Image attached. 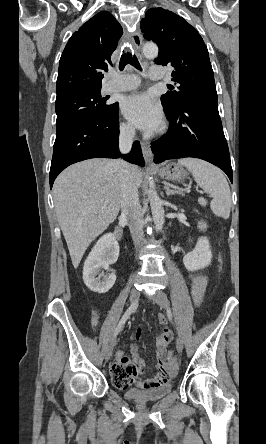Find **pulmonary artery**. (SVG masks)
I'll list each match as a JSON object with an SVG mask.
<instances>
[{
	"mask_svg": "<svg viewBox=\"0 0 266 444\" xmlns=\"http://www.w3.org/2000/svg\"><path fill=\"white\" fill-rule=\"evenodd\" d=\"M148 74L152 80H160L164 77L165 71L162 66H151L148 69ZM111 75L113 79L106 85L107 92L128 91L139 85V78L136 75L117 74L115 72H112Z\"/></svg>",
	"mask_w": 266,
	"mask_h": 444,
	"instance_id": "1",
	"label": "pulmonary artery"
}]
</instances>
